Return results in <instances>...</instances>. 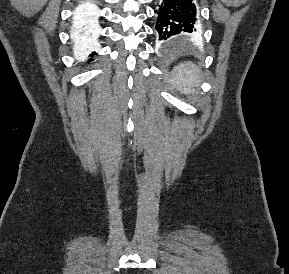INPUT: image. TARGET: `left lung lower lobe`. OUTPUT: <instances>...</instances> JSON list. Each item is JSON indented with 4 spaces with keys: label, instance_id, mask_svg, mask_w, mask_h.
I'll return each mask as SVG.
<instances>
[{
    "label": "left lung lower lobe",
    "instance_id": "1",
    "mask_svg": "<svg viewBox=\"0 0 289 274\" xmlns=\"http://www.w3.org/2000/svg\"><path fill=\"white\" fill-rule=\"evenodd\" d=\"M156 30L163 44H175L199 34L197 7L193 0H162L155 11Z\"/></svg>",
    "mask_w": 289,
    "mask_h": 274
}]
</instances>
